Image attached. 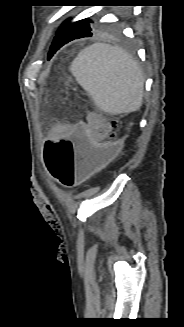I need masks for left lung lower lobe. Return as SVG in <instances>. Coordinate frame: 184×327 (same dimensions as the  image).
<instances>
[{
    "instance_id": "1",
    "label": "left lung lower lobe",
    "mask_w": 184,
    "mask_h": 327,
    "mask_svg": "<svg viewBox=\"0 0 184 327\" xmlns=\"http://www.w3.org/2000/svg\"><path fill=\"white\" fill-rule=\"evenodd\" d=\"M70 24L64 22V24L59 28L52 45L50 47V51L48 53V60L53 56V54L61 48L64 44L78 38L83 37H90L92 34L89 35H80L78 30H73V28L68 27Z\"/></svg>"
}]
</instances>
